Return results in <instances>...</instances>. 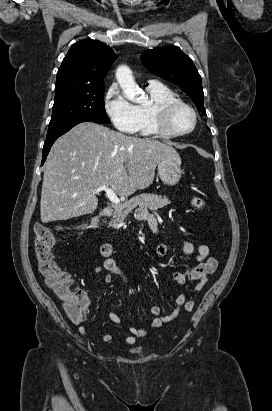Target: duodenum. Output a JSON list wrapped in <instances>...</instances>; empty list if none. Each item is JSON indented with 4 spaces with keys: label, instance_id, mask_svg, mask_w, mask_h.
I'll list each match as a JSON object with an SVG mask.
<instances>
[{
    "label": "duodenum",
    "instance_id": "410a0bca",
    "mask_svg": "<svg viewBox=\"0 0 272 411\" xmlns=\"http://www.w3.org/2000/svg\"><path fill=\"white\" fill-rule=\"evenodd\" d=\"M113 209L111 207L104 208L91 222V230L94 233H99L103 221L112 215Z\"/></svg>",
    "mask_w": 272,
    "mask_h": 411
}]
</instances>
